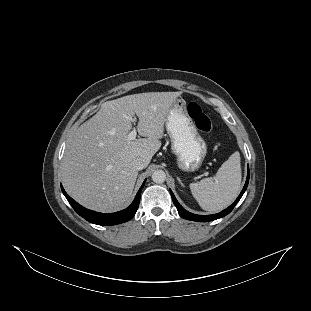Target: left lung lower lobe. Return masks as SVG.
Wrapping results in <instances>:
<instances>
[{"label":"left lung lower lobe","instance_id":"left-lung-lower-lobe-1","mask_svg":"<svg viewBox=\"0 0 311 311\" xmlns=\"http://www.w3.org/2000/svg\"><path fill=\"white\" fill-rule=\"evenodd\" d=\"M248 182H249V168H248L246 183H245L239 197L236 199V201L227 209L221 211L220 213L213 214V215H196V214L190 213V212L186 211L179 204V202L176 200L175 196L173 195L172 191H171V196H172V200H173L175 206L177 207V210H178L181 217L188 219V220H192V221L207 222V221L216 220L218 218L224 217L225 215L229 214L233 210L234 206L238 203V201L240 200L242 195L244 194V192L248 186Z\"/></svg>","mask_w":311,"mask_h":311}]
</instances>
